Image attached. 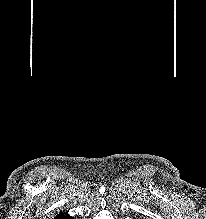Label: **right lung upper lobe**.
Here are the masks:
<instances>
[{
  "mask_svg": "<svg viewBox=\"0 0 206 219\" xmlns=\"http://www.w3.org/2000/svg\"><path fill=\"white\" fill-rule=\"evenodd\" d=\"M54 219H72L71 216L66 215L64 212L58 214Z\"/></svg>",
  "mask_w": 206,
  "mask_h": 219,
  "instance_id": "cb5924a9",
  "label": "right lung upper lobe"
}]
</instances>
